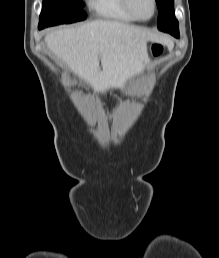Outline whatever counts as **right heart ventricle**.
Returning a JSON list of instances; mask_svg holds the SVG:
<instances>
[{"instance_id": "1", "label": "right heart ventricle", "mask_w": 219, "mask_h": 258, "mask_svg": "<svg viewBox=\"0 0 219 258\" xmlns=\"http://www.w3.org/2000/svg\"><path fill=\"white\" fill-rule=\"evenodd\" d=\"M89 5L103 19L124 23L136 21L125 9L123 0H89Z\"/></svg>"}]
</instances>
